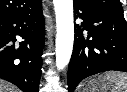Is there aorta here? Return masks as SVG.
Masks as SVG:
<instances>
[{
	"instance_id": "1",
	"label": "aorta",
	"mask_w": 127,
	"mask_h": 92,
	"mask_svg": "<svg viewBox=\"0 0 127 92\" xmlns=\"http://www.w3.org/2000/svg\"><path fill=\"white\" fill-rule=\"evenodd\" d=\"M56 15V67L65 68L71 58L74 42L73 0H53Z\"/></svg>"
}]
</instances>
